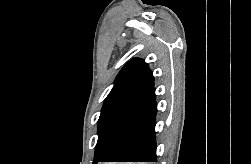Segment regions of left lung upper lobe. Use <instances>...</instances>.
<instances>
[{
  "instance_id": "5c2ea615",
  "label": "left lung upper lobe",
  "mask_w": 251,
  "mask_h": 164,
  "mask_svg": "<svg viewBox=\"0 0 251 164\" xmlns=\"http://www.w3.org/2000/svg\"><path fill=\"white\" fill-rule=\"evenodd\" d=\"M153 86V74L144 60L132 59L121 69L105 99L98 120V141L93 164L109 157L125 116Z\"/></svg>"
}]
</instances>
